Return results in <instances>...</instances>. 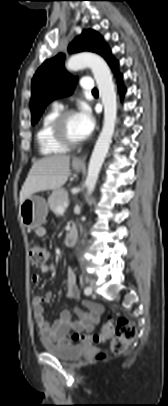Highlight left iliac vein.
<instances>
[{
	"instance_id": "1",
	"label": "left iliac vein",
	"mask_w": 168,
	"mask_h": 406,
	"mask_svg": "<svg viewBox=\"0 0 168 406\" xmlns=\"http://www.w3.org/2000/svg\"><path fill=\"white\" fill-rule=\"evenodd\" d=\"M91 287L94 288V287H95V284H91Z\"/></svg>"
}]
</instances>
